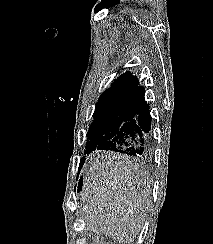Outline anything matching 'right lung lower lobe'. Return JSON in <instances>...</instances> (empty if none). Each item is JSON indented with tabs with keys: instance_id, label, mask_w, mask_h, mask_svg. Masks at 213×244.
Segmentation results:
<instances>
[{
	"instance_id": "1",
	"label": "right lung lower lobe",
	"mask_w": 213,
	"mask_h": 244,
	"mask_svg": "<svg viewBox=\"0 0 213 244\" xmlns=\"http://www.w3.org/2000/svg\"><path fill=\"white\" fill-rule=\"evenodd\" d=\"M151 116L149 105L145 101V89L136 97L133 115L125 121L117 135L101 143L95 149L85 152L89 154L94 150H111L127 155L145 157L149 149V129ZM83 162L85 158H82ZM81 162V165L83 164Z\"/></svg>"
}]
</instances>
